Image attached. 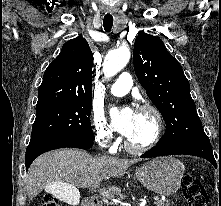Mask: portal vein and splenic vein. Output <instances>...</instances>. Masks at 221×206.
Segmentation results:
<instances>
[{
  "mask_svg": "<svg viewBox=\"0 0 221 206\" xmlns=\"http://www.w3.org/2000/svg\"><path fill=\"white\" fill-rule=\"evenodd\" d=\"M94 187H96V186H94ZM52 191L53 192H56V189H55V187H52ZM101 196L103 197V198H107V199H110L111 197H112V194L110 193V192H108V191H106V190H103V191H101ZM154 200H158V197H154Z\"/></svg>",
  "mask_w": 221,
  "mask_h": 206,
  "instance_id": "18ae733b",
  "label": "portal vein and splenic vein"
}]
</instances>
